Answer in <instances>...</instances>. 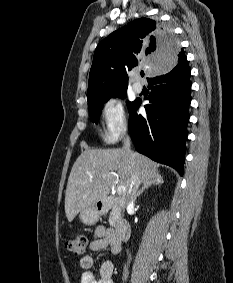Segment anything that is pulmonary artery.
Segmentation results:
<instances>
[{
    "label": "pulmonary artery",
    "mask_w": 233,
    "mask_h": 283,
    "mask_svg": "<svg viewBox=\"0 0 233 283\" xmlns=\"http://www.w3.org/2000/svg\"><path fill=\"white\" fill-rule=\"evenodd\" d=\"M143 87L140 83L136 82L133 84V91L135 93H140L142 91Z\"/></svg>",
    "instance_id": "pulmonary-artery-1"
}]
</instances>
